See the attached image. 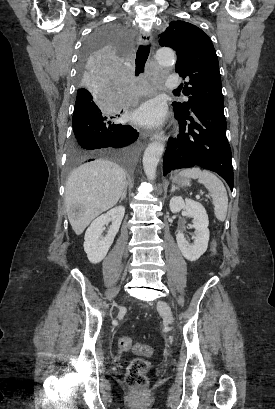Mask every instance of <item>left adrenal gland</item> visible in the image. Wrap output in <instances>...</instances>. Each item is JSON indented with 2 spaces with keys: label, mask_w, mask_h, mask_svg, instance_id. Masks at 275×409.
Here are the masks:
<instances>
[{
  "label": "left adrenal gland",
  "mask_w": 275,
  "mask_h": 409,
  "mask_svg": "<svg viewBox=\"0 0 275 409\" xmlns=\"http://www.w3.org/2000/svg\"><path fill=\"white\" fill-rule=\"evenodd\" d=\"M176 188H178V186H175V184H172V188H171L170 192H174V190H176Z\"/></svg>",
  "instance_id": "a2214340"
}]
</instances>
